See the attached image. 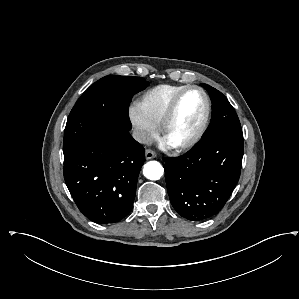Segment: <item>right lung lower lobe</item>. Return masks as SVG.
Returning a JSON list of instances; mask_svg holds the SVG:
<instances>
[{
	"mask_svg": "<svg viewBox=\"0 0 299 299\" xmlns=\"http://www.w3.org/2000/svg\"><path fill=\"white\" fill-rule=\"evenodd\" d=\"M144 148L127 128L88 140L64 157V179L79 210L100 224L115 223L132 209Z\"/></svg>",
	"mask_w": 299,
	"mask_h": 299,
	"instance_id": "obj_1",
	"label": "right lung lower lobe"
}]
</instances>
